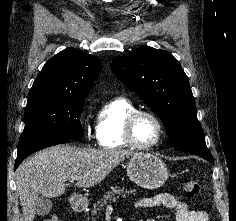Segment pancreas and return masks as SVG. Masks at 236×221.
Returning a JSON list of instances; mask_svg holds the SVG:
<instances>
[{
    "label": "pancreas",
    "mask_w": 236,
    "mask_h": 221,
    "mask_svg": "<svg viewBox=\"0 0 236 221\" xmlns=\"http://www.w3.org/2000/svg\"><path fill=\"white\" fill-rule=\"evenodd\" d=\"M132 191H128L125 188L119 189L118 187H112L111 191H107L104 195L103 198H101L100 201H98L96 204L93 205L91 209V218L92 221H97L99 220L101 214V210L104 209V207L111 201L115 200L116 195H121V194H129Z\"/></svg>",
    "instance_id": "1"
}]
</instances>
